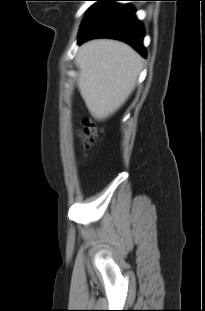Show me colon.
I'll return each mask as SVG.
<instances>
[{
	"mask_svg": "<svg viewBox=\"0 0 205 311\" xmlns=\"http://www.w3.org/2000/svg\"><path fill=\"white\" fill-rule=\"evenodd\" d=\"M101 133V129L98 128L95 124L89 120H84L82 128V151H88L94 142L100 138Z\"/></svg>",
	"mask_w": 205,
	"mask_h": 311,
	"instance_id": "colon-1",
	"label": "colon"
}]
</instances>
